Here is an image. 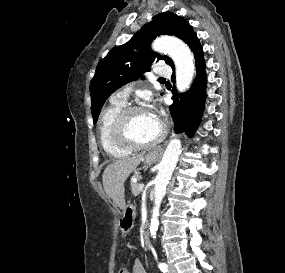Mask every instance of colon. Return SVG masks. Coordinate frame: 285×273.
Segmentation results:
<instances>
[{
	"instance_id": "5ec220e1",
	"label": "colon",
	"mask_w": 285,
	"mask_h": 273,
	"mask_svg": "<svg viewBox=\"0 0 285 273\" xmlns=\"http://www.w3.org/2000/svg\"><path fill=\"white\" fill-rule=\"evenodd\" d=\"M124 271H125V268H121V269L119 270V273H124Z\"/></svg>"
}]
</instances>
